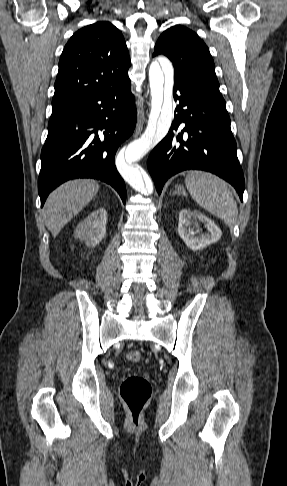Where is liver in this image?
Masks as SVG:
<instances>
[{"instance_id":"6515ba94","label":"liver","mask_w":287,"mask_h":486,"mask_svg":"<svg viewBox=\"0 0 287 486\" xmlns=\"http://www.w3.org/2000/svg\"><path fill=\"white\" fill-rule=\"evenodd\" d=\"M99 185L91 179L71 180L55 189L43 209L46 227L53 237L93 199Z\"/></svg>"}]
</instances>
